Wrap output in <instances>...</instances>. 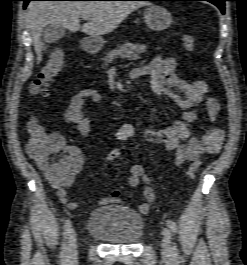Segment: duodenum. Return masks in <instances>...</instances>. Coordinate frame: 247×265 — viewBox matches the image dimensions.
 <instances>
[{
    "label": "duodenum",
    "mask_w": 247,
    "mask_h": 265,
    "mask_svg": "<svg viewBox=\"0 0 247 265\" xmlns=\"http://www.w3.org/2000/svg\"><path fill=\"white\" fill-rule=\"evenodd\" d=\"M82 50L85 53H95L97 50V47L95 45L94 42L90 41V40H85L82 44Z\"/></svg>",
    "instance_id": "obj_1"
}]
</instances>
